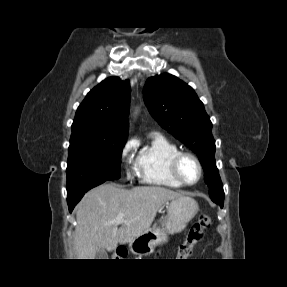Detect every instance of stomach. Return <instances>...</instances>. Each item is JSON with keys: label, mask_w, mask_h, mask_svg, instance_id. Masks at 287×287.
I'll use <instances>...</instances> for the list:
<instances>
[{"label": "stomach", "mask_w": 287, "mask_h": 287, "mask_svg": "<svg viewBox=\"0 0 287 287\" xmlns=\"http://www.w3.org/2000/svg\"><path fill=\"white\" fill-rule=\"evenodd\" d=\"M199 210L197 202L188 196H180L167 204V216L160 227L145 230L129 242L130 251L136 255H148L157 245L168 241L169 234L179 233L185 229Z\"/></svg>", "instance_id": "obj_1"}]
</instances>
